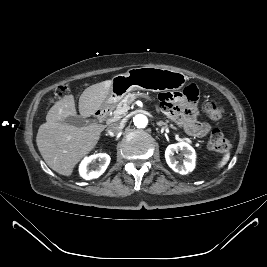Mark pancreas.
I'll use <instances>...</instances> for the list:
<instances>
[{
    "mask_svg": "<svg viewBox=\"0 0 267 267\" xmlns=\"http://www.w3.org/2000/svg\"><path fill=\"white\" fill-rule=\"evenodd\" d=\"M135 97H136L135 94L128 93L122 100H120L118 103L114 104L111 107V111L109 113L110 117H109L108 121H110V122L116 121L118 118L125 115L129 109L130 103L133 102ZM167 122H169V121H167ZM170 127L174 130L177 129L173 124H170Z\"/></svg>",
    "mask_w": 267,
    "mask_h": 267,
    "instance_id": "obj_1",
    "label": "pancreas"
}]
</instances>
